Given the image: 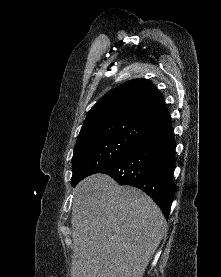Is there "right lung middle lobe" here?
Masks as SVG:
<instances>
[{
    "label": "right lung middle lobe",
    "instance_id": "1",
    "mask_svg": "<svg viewBox=\"0 0 221 277\" xmlns=\"http://www.w3.org/2000/svg\"><path fill=\"white\" fill-rule=\"evenodd\" d=\"M141 135L138 122L101 125L80 132L72 158L71 184L120 160Z\"/></svg>",
    "mask_w": 221,
    "mask_h": 277
}]
</instances>
